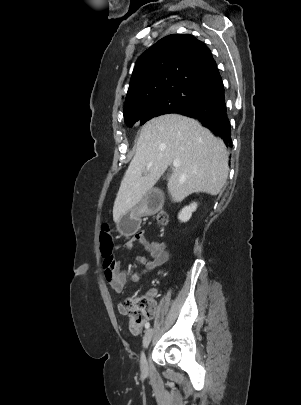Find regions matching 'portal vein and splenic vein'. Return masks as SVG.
<instances>
[{
  "label": "portal vein and splenic vein",
  "mask_w": 301,
  "mask_h": 405,
  "mask_svg": "<svg viewBox=\"0 0 301 405\" xmlns=\"http://www.w3.org/2000/svg\"><path fill=\"white\" fill-rule=\"evenodd\" d=\"M180 163H181L180 160H174V161H173V166H174V167H178V166H180ZM150 166H151V165H147V169H149Z\"/></svg>",
  "instance_id": "portal-vein-and-splenic-vein-1"
}]
</instances>
